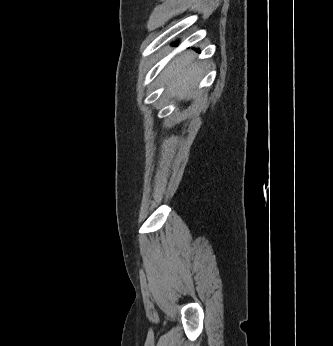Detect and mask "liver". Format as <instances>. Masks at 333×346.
Masks as SVG:
<instances>
[{"label": "liver", "mask_w": 333, "mask_h": 346, "mask_svg": "<svg viewBox=\"0 0 333 346\" xmlns=\"http://www.w3.org/2000/svg\"><path fill=\"white\" fill-rule=\"evenodd\" d=\"M166 91L179 99L192 96L194 87L201 79V65L195 62V55L185 52L175 58L163 72Z\"/></svg>", "instance_id": "liver-1"}]
</instances>
